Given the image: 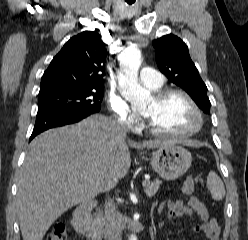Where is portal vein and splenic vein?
Segmentation results:
<instances>
[{"label":"portal vein and splenic vein","mask_w":248,"mask_h":240,"mask_svg":"<svg viewBox=\"0 0 248 240\" xmlns=\"http://www.w3.org/2000/svg\"><path fill=\"white\" fill-rule=\"evenodd\" d=\"M146 181L143 182V185H145Z\"/></svg>","instance_id":"obj_1"}]
</instances>
